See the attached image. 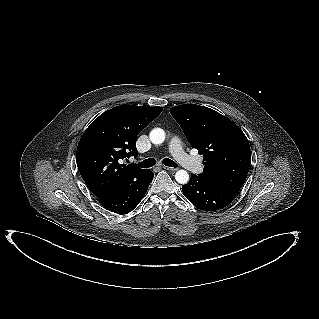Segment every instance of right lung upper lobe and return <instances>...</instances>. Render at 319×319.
<instances>
[{
    "mask_svg": "<svg viewBox=\"0 0 319 319\" xmlns=\"http://www.w3.org/2000/svg\"><path fill=\"white\" fill-rule=\"evenodd\" d=\"M162 110V107L120 105L101 114L85 130L76 161L83 180L96 197L144 170L118 161L138 154L137 135Z\"/></svg>",
    "mask_w": 319,
    "mask_h": 319,
    "instance_id": "cb5924a9",
    "label": "right lung upper lobe"
}]
</instances>
